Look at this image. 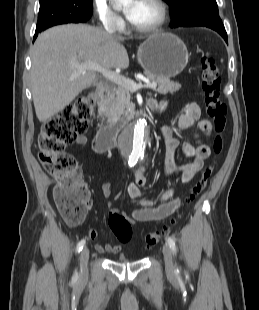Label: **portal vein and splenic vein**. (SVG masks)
I'll use <instances>...</instances> for the list:
<instances>
[{
    "label": "portal vein and splenic vein",
    "mask_w": 259,
    "mask_h": 310,
    "mask_svg": "<svg viewBox=\"0 0 259 310\" xmlns=\"http://www.w3.org/2000/svg\"><path fill=\"white\" fill-rule=\"evenodd\" d=\"M72 65L78 69V70H92L97 71L101 73L105 78L109 79L113 83L122 86L130 91H137L141 88H150V89H156L157 83L153 82H146L145 84L142 83H136L133 80L126 78L122 75H119L109 69H106L102 67L100 64L92 62V61H86L82 63H72Z\"/></svg>",
    "instance_id": "portal-vein-and-splenic-vein-1"
}]
</instances>
